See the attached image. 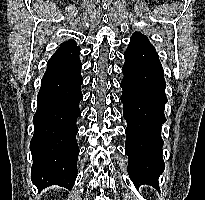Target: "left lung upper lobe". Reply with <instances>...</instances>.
Listing matches in <instances>:
<instances>
[{"instance_id":"1","label":"left lung upper lobe","mask_w":205,"mask_h":200,"mask_svg":"<svg viewBox=\"0 0 205 200\" xmlns=\"http://www.w3.org/2000/svg\"><path fill=\"white\" fill-rule=\"evenodd\" d=\"M133 35H142L141 33L135 32Z\"/></svg>"}]
</instances>
